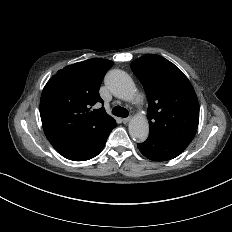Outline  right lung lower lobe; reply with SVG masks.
Listing matches in <instances>:
<instances>
[{"instance_id":"1","label":"right lung lower lobe","mask_w":232,"mask_h":232,"mask_svg":"<svg viewBox=\"0 0 232 232\" xmlns=\"http://www.w3.org/2000/svg\"><path fill=\"white\" fill-rule=\"evenodd\" d=\"M117 126L114 122L107 130L98 134L89 136L88 138L80 141L61 143H51L52 146L62 156L73 161H85L97 156L105 146L108 135L113 128Z\"/></svg>"}]
</instances>
